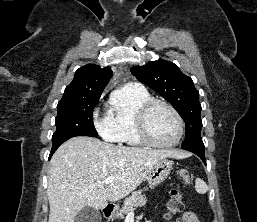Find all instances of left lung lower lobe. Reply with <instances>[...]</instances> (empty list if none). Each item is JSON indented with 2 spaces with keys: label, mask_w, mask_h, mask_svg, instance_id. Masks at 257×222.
<instances>
[{
  "label": "left lung lower lobe",
  "mask_w": 257,
  "mask_h": 222,
  "mask_svg": "<svg viewBox=\"0 0 257 222\" xmlns=\"http://www.w3.org/2000/svg\"><path fill=\"white\" fill-rule=\"evenodd\" d=\"M187 151L193 152L196 155H198L201 158V160L204 162V164L206 165V159H205L204 151H201V150H187Z\"/></svg>",
  "instance_id": "left-lung-lower-lobe-1"
}]
</instances>
